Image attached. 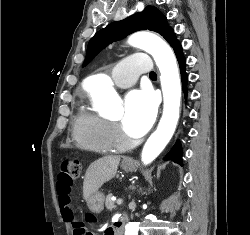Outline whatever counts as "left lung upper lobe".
<instances>
[{"label":"left lung upper lobe","instance_id":"5c2ea615","mask_svg":"<svg viewBox=\"0 0 250 235\" xmlns=\"http://www.w3.org/2000/svg\"><path fill=\"white\" fill-rule=\"evenodd\" d=\"M139 30L155 31L162 35L168 43L175 37L173 29L168 27L166 17L155 7L147 6L142 12L125 20L113 22L99 30L88 43L84 65L110 43Z\"/></svg>","mask_w":250,"mask_h":235}]
</instances>
